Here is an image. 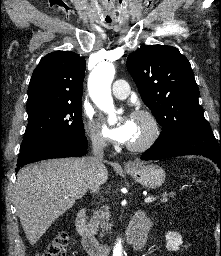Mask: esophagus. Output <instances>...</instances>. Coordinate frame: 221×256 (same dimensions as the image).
Here are the masks:
<instances>
[{"label": "esophagus", "instance_id": "34e87169", "mask_svg": "<svg viewBox=\"0 0 221 256\" xmlns=\"http://www.w3.org/2000/svg\"><path fill=\"white\" fill-rule=\"evenodd\" d=\"M125 165L128 166V167H132V166H134V163L131 162V161H128V162L125 163Z\"/></svg>", "mask_w": 221, "mask_h": 256}]
</instances>
